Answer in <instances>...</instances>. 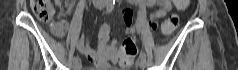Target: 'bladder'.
<instances>
[{
	"label": "bladder",
	"instance_id": "bladder-1",
	"mask_svg": "<svg viewBox=\"0 0 238 70\" xmlns=\"http://www.w3.org/2000/svg\"><path fill=\"white\" fill-rule=\"evenodd\" d=\"M107 70H124V69H119V68H115V67H110Z\"/></svg>",
	"mask_w": 238,
	"mask_h": 70
}]
</instances>
